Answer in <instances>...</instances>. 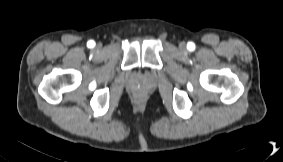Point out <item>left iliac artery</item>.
<instances>
[{
  "label": "left iliac artery",
  "mask_w": 283,
  "mask_h": 162,
  "mask_svg": "<svg viewBox=\"0 0 283 162\" xmlns=\"http://www.w3.org/2000/svg\"><path fill=\"white\" fill-rule=\"evenodd\" d=\"M187 48L188 50L193 51L195 49V44L193 42H189L187 44Z\"/></svg>",
  "instance_id": "left-iliac-artery-1"
}]
</instances>
